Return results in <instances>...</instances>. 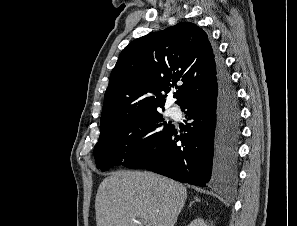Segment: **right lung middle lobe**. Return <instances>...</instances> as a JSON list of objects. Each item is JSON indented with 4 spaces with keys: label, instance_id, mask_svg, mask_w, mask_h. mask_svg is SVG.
<instances>
[{
    "label": "right lung middle lobe",
    "instance_id": "obj_1",
    "mask_svg": "<svg viewBox=\"0 0 297 226\" xmlns=\"http://www.w3.org/2000/svg\"><path fill=\"white\" fill-rule=\"evenodd\" d=\"M173 128L162 117L160 110L135 115L101 128L94 149L97 168L106 171L116 165L126 166L153 150Z\"/></svg>",
    "mask_w": 297,
    "mask_h": 226
}]
</instances>
